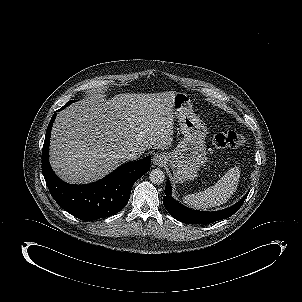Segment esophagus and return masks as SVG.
<instances>
[{"mask_svg": "<svg viewBox=\"0 0 302 302\" xmlns=\"http://www.w3.org/2000/svg\"><path fill=\"white\" fill-rule=\"evenodd\" d=\"M166 162V157L162 154H155L153 156V164L156 166H162Z\"/></svg>", "mask_w": 302, "mask_h": 302, "instance_id": "esophagus-1", "label": "esophagus"}]
</instances>
